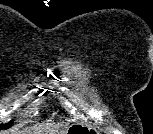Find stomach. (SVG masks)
Instances as JSON below:
<instances>
[{
	"label": "stomach",
	"instance_id": "1",
	"mask_svg": "<svg viewBox=\"0 0 153 134\" xmlns=\"http://www.w3.org/2000/svg\"><path fill=\"white\" fill-rule=\"evenodd\" d=\"M95 131L87 125L81 123H74L70 125L66 131V134H92Z\"/></svg>",
	"mask_w": 153,
	"mask_h": 134
}]
</instances>
